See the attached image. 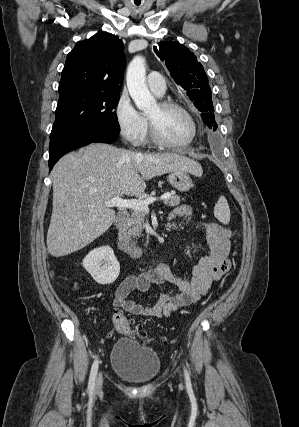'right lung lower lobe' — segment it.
Returning <instances> with one entry per match:
<instances>
[{
	"instance_id": "98d812e1",
	"label": "right lung lower lobe",
	"mask_w": 299,
	"mask_h": 427,
	"mask_svg": "<svg viewBox=\"0 0 299 427\" xmlns=\"http://www.w3.org/2000/svg\"><path fill=\"white\" fill-rule=\"evenodd\" d=\"M118 133L99 130H72L50 138L49 144V170L55 163L71 150L83 147L90 143H112Z\"/></svg>"
}]
</instances>
